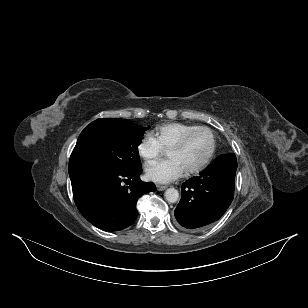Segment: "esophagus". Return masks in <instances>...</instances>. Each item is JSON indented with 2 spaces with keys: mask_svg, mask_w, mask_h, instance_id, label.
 <instances>
[{
  "mask_svg": "<svg viewBox=\"0 0 308 308\" xmlns=\"http://www.w3.org/2000/svg\"><path fill=\"white\" fill-rule=\"evenodd\" d=\"M156 187H157V190H158V191H163V190H165L168 186H167V185H162V184H157Z\"/></svg>",
  "mask_w": 308,
  "mask_h": 308,
  "instance_id": "34e87169",
  "label": "esophagus"
}]
</instances>
